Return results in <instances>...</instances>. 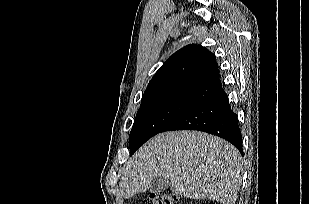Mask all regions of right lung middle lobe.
Wrapping results in <instances>:
<instances>
[{
	"label": "right lung middle lobe",
	"mask_w": 309,
	"mask_h": 204,
	"mask_svg": "<svg viewBox=\"0 0 309 204\" xmlns=\"http://www.w3.org/2000/svg\"><path fill=\"white\" fill-rule=\"evenodd\" d=\"M196 104L192 101L179 100H163L141 104L130 133V155Z\"/></svg>",
	"instance_id": "1"
}]
</instances>
